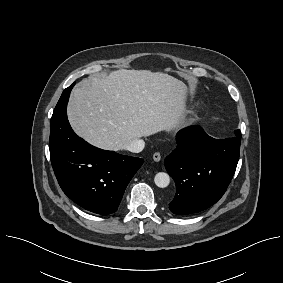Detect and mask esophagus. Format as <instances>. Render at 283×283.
I'll return each mask as SVG.
<instances>
[{"label":"esophagus","mask_w":283,"mask_h":283,"mask_svg":"<svg viewBox=\"0 0 283 283\" xmlns=\"http://www.w3.org/2000/svg\"><path fill=\"white\" fill-rule=\"evenodd\" d=\"M153 160H154L155 162H159V161L161 160V155H160L159 152H155V153L153 154Z\"/></svg>","instance_id":"1"}]
</instances>
